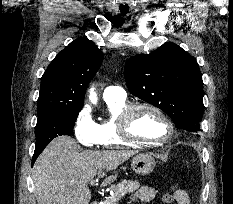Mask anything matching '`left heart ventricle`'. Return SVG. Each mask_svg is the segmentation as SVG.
<instances>
[{
  "instance_id": "left-heart-ventricle-1",
  "label": "left heart ventricle",
  "mask_w": 233,
  "mask_h": 204,
  "mask_svg": "<svg viewBox=\"0 0 233 204\" xmlns=\"http://www.w3.org/2000/svg\"><path fill=\"white\" fill-rule=\"evenodd\" d=\"M131 131L136 137L147 140H162L168 134L165 122L149 110H140L135 114Z\"/></svg>"
}]
</instances>
